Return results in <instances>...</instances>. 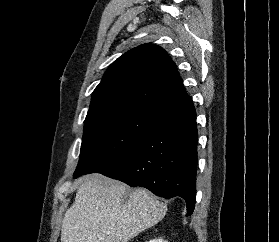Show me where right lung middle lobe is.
Masks as SVG:
<instances>
[{
    "mask_svg": "<svg viewBox=\"0 0 279 242\" xmlns=\"http://www.w3.org/2000/svg\"><path fill=\"white\" fill-rule=\"evenodd\" d=\"M159 114L114 111L87 115L80 159L73 177L100 172L144 139L159 123Z\"/></svg>",
    "mask_w": 279,
    "mask_h": 242,
    "instance_id": "dd1d6c3e",
    "label": "right lung middle lobe"
}]
</instances>
